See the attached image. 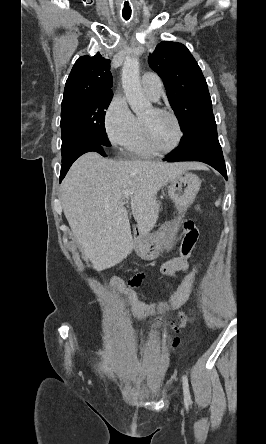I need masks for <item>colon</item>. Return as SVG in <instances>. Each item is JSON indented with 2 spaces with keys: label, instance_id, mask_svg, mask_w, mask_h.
Listing matches in <instances>:
<instances>
[{
  "label": "colon",
  "instance_id": "colon-1",
  "mask_svg": "<svg viewBox=\"0 0 266 444\" xmlns=\"http://www.w3.org/2000/svg\"><path fill=\"white\" fill-rule=\"evenodd\" d=\"M201 269V264L193 267V269L181 280L177 290L173 294L168 298L155 303H146L140 300L133 292L131 282L128 281L126 284V301L134 317L137 319H144L152 316H160L179 308L192 293L201 273Z\"/></svg>",
  "mask_w": 266,
  "mask_h": 444
}]
</instances>
